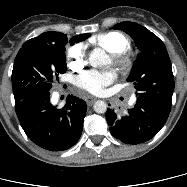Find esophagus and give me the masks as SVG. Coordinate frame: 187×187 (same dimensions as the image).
Instances as JSON below:
<instances>
[{
	"instance_id": "esophagus-1",
	"label": "esophagus",
	"mask_w": 187,
	"mask_h": 187,
	"mask_svg": "<svg viewBox=\"0 0 187 187\" xmlns=\"http://www.w3.org/2000/svg\"><path fill=\"white\" fill-rule=\"evenodd\" d=\"M85 101H86L87 105L90 106L96 101V98L95 97H87V98H85Z\"/></svg>"
}]
</instances>
